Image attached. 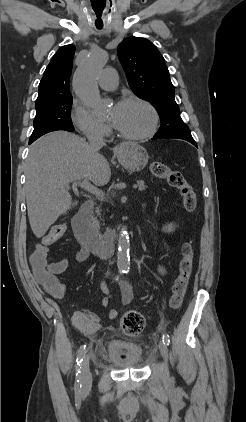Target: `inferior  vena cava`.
Wrapping results in <instances>:
<instances>
[{"label": "inferior vena cava", "instance_id": "inferior-vena-cava-1", "mask_svg": "<svg viewBox=\"0 0 246 422\" xmlns=\"http://www.w3.org/2000/svg\"><path fill=\"white\" fill-rule=\"evenodd\" d=\"M89 144L94 149H100L105 146L104 138L101 134L91 133L88 135Z\"/></svg>", "mask_w": 246, "mask_h": 422}]
</instances>
